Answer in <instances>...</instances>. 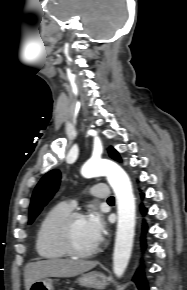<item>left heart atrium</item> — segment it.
Instances as JSON below:
<instances>
[{"label":"left heart atrium","mask_w":187,"mask_h":290,"mask_svg":"<svg viewBox=\"0 0 187 290\" xmlns=\"http://www.w3.org/2000/svg\"><path fill=\"white\" fill-rule=\"evenodd\" d=\"M86 221L94 239L100 242L106 230L102 217L98 213L92 212L86 218Z\"/></svg>","instance_id":"obj_1"}]
</instances>
